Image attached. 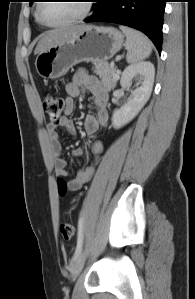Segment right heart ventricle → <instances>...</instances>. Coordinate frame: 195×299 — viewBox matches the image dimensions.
<instances>
[{"mask_svg": "<svg viewBox=\"0 0 195 299\" xmlns=\"http://www.w3.org/2000/svg\"><path fill=\"white\" fill-rule=\"evenodd\" d=\"M35 21L37 24L41 25V23L39 22V20L37 19L36 15H35Z\"/></svg>", "mask_w": 195, "mask_h": 299, "instance_id": "1", "label": "right heart ventricle"}]
</instances>
